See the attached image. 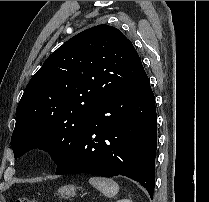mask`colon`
I'll use <instances>...</instances> for the list:
<instances>
[{"instance_id":"5ec220e1","label":"colon","mask_w":209,"mask_h":202,"mask_svg":"<svg viewBox=\"0 0 209 202\" xmlns=\"http://www.w3.org/2000/svg\"><path fill=\"white\" fill-rule=\"evenodd\" d=\"M15 202H38V201L35 199H31V198H20V199H17Z\"/></svg>"}]
</instances>
